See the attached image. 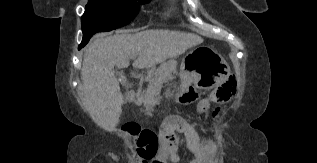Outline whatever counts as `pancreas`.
<instances>
[{
    "mask_svg": "<svg viewBox=\"0 0 317 163\" xmlns=\"http://www.w3.org/2000/svg\"><path fill=\"white\" fill-rule=\"evenodd\" d=\"M177 62L170 60L160 65L154 73L149 72L146 80L149 82L148 88L145 91V105L151 106L156 101V96L160 93L164 83H167L175 78Z\"/></svg>",
    "mask_w": 317,
    "mask_h": 163,
    "instance_id": "obj_1",
    "label": "pancreas"
}]
</instances>
